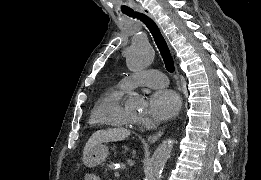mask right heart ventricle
Instances as JSON below:
<instances>
[{
    "mask_svg": "<svg viewBox=\"0 0 261 180\" xmlns=\"http://www.w3.org/2000/svg\"><path fill=\"white\" fill-rule=\"evenodd\" d=\"M123 94L124 90L119 85H116L106 90L97 99L89 119V121H97V126H90L91 131H100V127H119L117 123V114L120 110H123Z\"/></svg>",
    "mask_w": 261,
    "mask_h": 180,
    "instance_id": "1",
    "label": "right heart ventricle"
}]
</instances>
